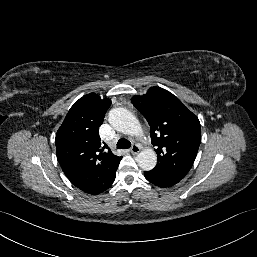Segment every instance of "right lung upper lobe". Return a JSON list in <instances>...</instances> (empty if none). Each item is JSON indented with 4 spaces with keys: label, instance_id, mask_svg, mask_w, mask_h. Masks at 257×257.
Returning a JSON list of instances; mask_svg holds the SVG:
<instances>
[{
    "label": "right lung upper lobe",
    "instance_id": "1",
    "mask_svg": "<svg viewBox=\"0 0 257 257\" xmlns=\"http://www.w3.org/2000/svg\"><path fill=\"white\" fill-rule=\"evenodd\" d=\"M111 100L90 93L73 104L56 134L58 162L67 178L88 194L107 190L122 157L101 143L99 127Z\"/></svg>",
    "mask_w": 257,
    "mask_h": 257
}]
</instances>
